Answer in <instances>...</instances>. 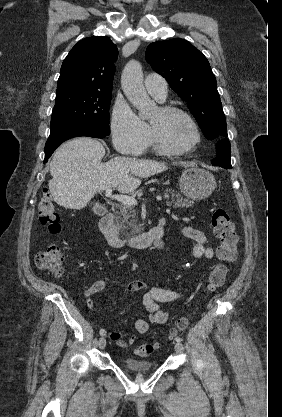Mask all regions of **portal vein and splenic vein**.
Masks as SVG:
<instances>
[{
    "label": "portal vein and splenic vein",
    "mask_w": 282,
    "mask_h": 417,
    "mask_svg": "<svg viewBox=\"0 0 282 417\" xmlns=\"http://www.w3.org/2000/svg\"><path fill=\"white\" fill-rule=\"evenodd\" d=\"M112 186L111 188H106L105 196H110V198H115V200H120V202H124V204H137L136 198L134 196H128V194H112ZM152 200H159L162 202L163 196L162 195H152Z\"/></svg>",
    "instance_id": "18ae733b"
}]
</instances>
